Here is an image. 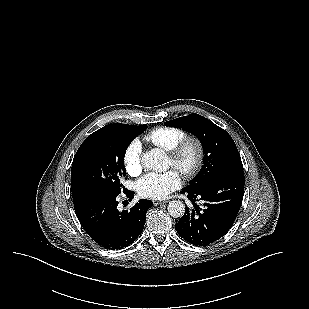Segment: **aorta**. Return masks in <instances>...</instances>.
I'll use <instances>...</instances> for the list:
<instances>
[{"instance_id":"1","label":"aorta","mask_w":309,"mask_h":309,"mask_svg":"<svg viewBox=\"0 0 309 309\" xmlns=\"http://www.w3.org/2000/svg\"><path fill=\"white\" fill-rule=\"evenodd\" d=\"M166 161V155L163 150L151 149L142 156V164L147 169L160 170L164 166ZM168 213L174 217H182L185 213V205L180 200L170 201L167 206Z\"/></svg>"}]
</instances>
